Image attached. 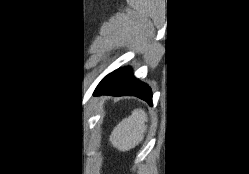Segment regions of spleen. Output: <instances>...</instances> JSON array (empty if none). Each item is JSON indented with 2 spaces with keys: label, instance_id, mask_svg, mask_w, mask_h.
<instances>
[{
  "label": "spleen",
  "instance_id": "spleen-1",
  "mask_svg": "<svg viewBox=\"0 0 249 174\" xmlns=\"http://www.w3.org/2000/svg\"><path fill=\"white\" fill-rule=\"evenodd\" d=\"M147 115L142 109H135L131 115L122 119L113 129L110 142L119 151H129L144 138Z\"/></svg>",
  "mask_w": 249,
  "mask_h": 174
}]
</instances>
